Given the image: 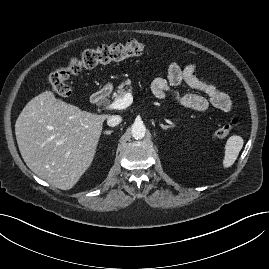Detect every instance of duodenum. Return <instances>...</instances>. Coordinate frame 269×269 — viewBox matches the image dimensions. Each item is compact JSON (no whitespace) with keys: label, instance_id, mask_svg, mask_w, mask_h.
<instances>
[{"label":"duodenum","instance_id":"duodenum-1","mask_svg":"<svg viewBox=\"0 0 269 269\" xmlns=\"http://www.w3.org/2000/svg\"><path fill=\"white\" fill-rule=\"evenodd\" d=\"M110 93L111 90L109 87H102L91 96V102L94 105H102L107 100Z\"/></svg>","mask_w":269,"mask_h":269}]
</instances>
